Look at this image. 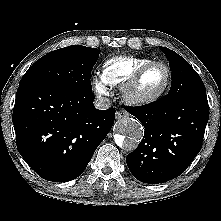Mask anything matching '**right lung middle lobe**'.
Instances as JSON below:
<instances>
[{
    "mask_svg": "<svg viewBox=\"0 0 221 221\" xmlns=\"http://www.w3.org/2000/svg\"><path fill=\"white\" fill-rule=\"evenodd\" d=\"M99 54L97 48L81 45L52 51L27 70L19 86L36 84L92 92L90 75Z\"/></svg>",
    "mask_w": 221,
    "mask_h": 221,
    "instance_id": "right-lung-middle-lobe-1",
    "label": "right lung middle lobe"
}]
</instances>
